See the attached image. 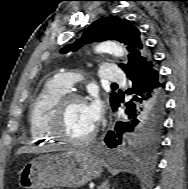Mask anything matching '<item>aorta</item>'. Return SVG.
<instances>
[{
    "label": "aorta",
    "instance_id": "762f6f07",
    "mask_svg": "<svg viewBox=\"0 0 188 189\" xmlns=\"http://www.w3.org/2000/svg\"><path fill=\"white\" fill-rule=\"evenodd\" d=\"M95 51L97 53H109L118 57H121L125 54V49L120 44L114 41H105L99 43L96 46Z\"/></svg>",
    "mask_w": 188,
    "mask_h": 189
}]
</instances>
